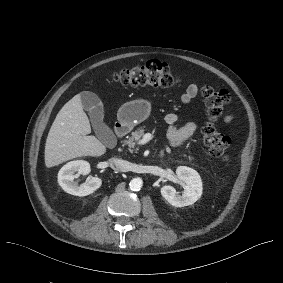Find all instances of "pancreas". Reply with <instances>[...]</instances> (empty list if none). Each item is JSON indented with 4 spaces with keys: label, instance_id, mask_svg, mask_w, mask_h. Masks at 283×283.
Returning <instances> with one entry per match:
<instances>
[{
    "label": "pancreas",
    "instance_id": "pancreas-1",
    "mask_svg": "<svg viewBox=\"0 0 283 283\" xmlns=\"http://www.w3.org/2000/svg\"><path fill=\"white\" fill-rule=\"evenodd\" d=\"M147 130L148 128L146 126H140L139 128H137L134 132H132V136L129 138V143L133 144V142L135 140H138Z\"/></svg>",
    "mask_w": 283,
    "mask_h": 283
}]
</instances>
